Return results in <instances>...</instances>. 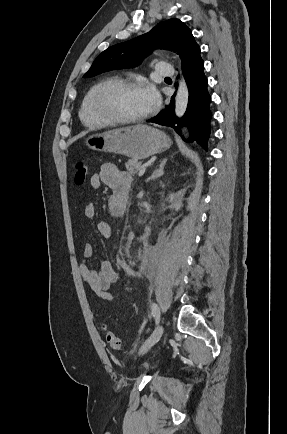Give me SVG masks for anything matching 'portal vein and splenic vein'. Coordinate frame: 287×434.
Returning <instances> with one entry per match:
<instances>
[{"mask_svg": "<svg viewBox=\"0 0 287 434\" xmlns=\"http://www.w3.org/2000/svg\"><path fill=\"white\" fill-rule=\"evenodd\" d=\"M145 171H146V166H142L141 169L139 170V176H143Z\"/></svg>", "mask_w": 287, "mask_h": 434, "instance_id": "obj_1", "label": "portal vein and splenic vein"}]
</instances>
